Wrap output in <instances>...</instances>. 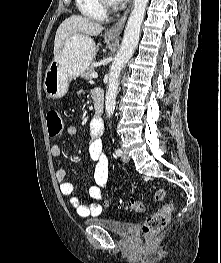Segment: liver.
Masks as SVG:
<instances>
[{
	"mask_svg": "<svg viewBox=\"0 0 221 263\" xmlns=\"http://www.w3.org/2000/svg\"><path fill=\"white\" fill-rule=\"evenodd\" d=\"M103 26L86 17L72 15L65 19L58 27L54 41V55L56 56L67 38L72 35L98 36Z\"/></svg>",
	"mask_w": 221,
	"mask_h": 263,
	"instance_id": "liver-1",
	"label": "liver"
}]
</instances>
